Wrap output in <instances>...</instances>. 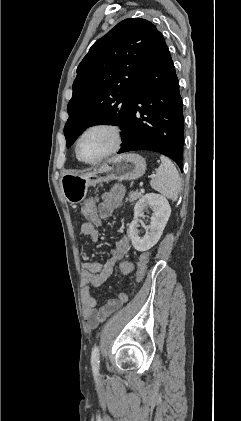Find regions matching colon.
<instances>
[{
	"label": "colon",
	"instance_id": "obj_1",
	"mask_svg": "<svg viewBox=\"0 0 241 421\" xmlns=\"http://www.w3.org/2000/svg\"><path fill=\"white\" fill-rule=\"evenodd\" d=\"M81 210L87 222L93 224L95 228L99 230L101 227V219L97 214V199H87L82 205ZM149 258V253L146 252L141 254L136 266L129 261L123 260L119 263V270L124 275L131 274L134 270H136V279L140 281L146 273Z\"/></svg>",
	"mask_w": 241,
	"mask_h": 421
}]
</instances>
